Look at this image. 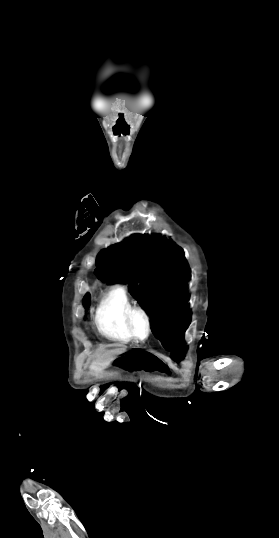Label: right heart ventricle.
Segmentation results:
<instances>
[{
	"label": "right heart ventricle",
	"instance_id": "right-heart-ventricle-1",
	"mask_svg": "<svg viewBox=\"0 0 279 538\" xmlns=\"http://www.w3.org/2000/svg\"><path fill=\"white\" fill-rule=\"evenodd\" d=\"M100 239L103 231L94 227L92 223L84 228L83 235ZM134 306L125 287L117 285L105 292L97 305L94 320L99 331L112 339L130 341L131 337L125 326V316L129 308Z\"/></svg>",
	"mask_w": 279,
	"mask_h": 538
}]
</instances>
